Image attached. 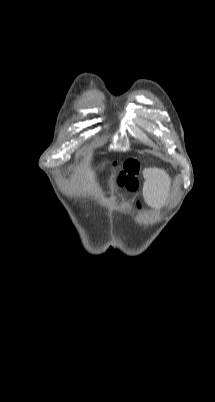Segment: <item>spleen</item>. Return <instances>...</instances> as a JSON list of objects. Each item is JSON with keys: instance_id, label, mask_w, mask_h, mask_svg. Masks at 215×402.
Returning a JSON list of instances; mask_svg holds the SVG:
<instances>
[{"instance_id": "3e777b00", "label": "spleen", "mask_w": 215, "mask_h": 402, "mask_svg": "<svg viewBox=\"0 0 215 402\" xmlns=\"http://www.w3.org/2000/svg\"><path fill=\"white\" fill-rule=\"evenodd\" d=\"M161 173L156 170H145L144 176L146 178L145 196L150 209L155 210L158 207V197L163 195V190L155 187V182L160 178ZM158 181L159 183L162 181Z\"/></svg>"}]
</instances>
